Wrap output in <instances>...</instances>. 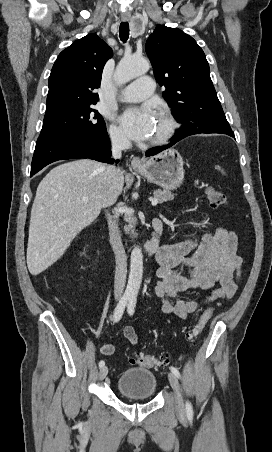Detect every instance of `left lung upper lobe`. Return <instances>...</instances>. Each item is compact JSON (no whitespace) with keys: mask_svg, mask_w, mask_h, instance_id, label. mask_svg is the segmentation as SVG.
I'll return each mask as SVG.
<instances>
[{"mask_svg":"<svg viewBox=\"0 0 272 452\" xmlns=\"http://www.w3.org/2000/svg\"><path fill=\"white\" fill-rule=\"evenodd\" d=\"M146 53L164 99L182 129L206 132L231 130L210 78L209 64L196 41L182 30L157 25Z\"/></svg>","mask_w":272,"mask_h":452,"instance_id":"left-lung-upper-lobe-1","label":"left lung upper lobe"}]
</instances>
